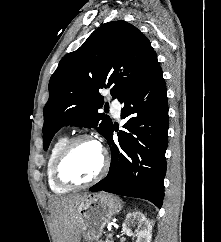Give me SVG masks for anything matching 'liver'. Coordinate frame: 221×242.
Masks as SVG:
<instances>
[{
    "instance_id": "6515ba94",
    "label": "liver",
    "mask_w": 221,
    "mask_h": 242,
    "mask_svg": "<svg viewBox=\"0 0 221 242\" xmlns=\"http://www.w3.org/2000/svg\"><path fill=\"white\" fill-rule=\"evenodd\" d=\"M87 194L70 195L51 200L56 242H80V225L76 209Z\"/></svg>"
}]
</instances>
